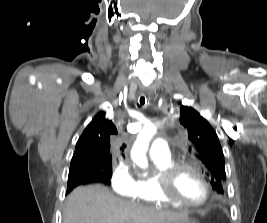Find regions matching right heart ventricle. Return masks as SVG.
<instances>
[{
	"label": "right heart ventricle",
	"mask_w": 267,
	"mask_h": 223,
	"mask_svg": "<svg viewBox=\"0 0 267 223\" xmlns=\"http://www.w3.org/2000/svg\"><path fill=\"white\" fill-rule=\"evenodd\" d=\"M155 165V172L151 175L138 176L135 180L134 188L128 195L134 199L150 203L155 206L166 205L167 203L161 198L157 188V176L158 174L173 164V160L152 158Z\"/></svg>",
	"instance_id": "right-heart-ventricle-1"
}]
</instances>
